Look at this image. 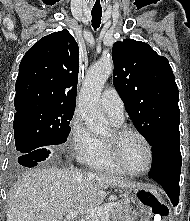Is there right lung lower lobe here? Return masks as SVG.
<instances>
[{"label":"right lung lower lobe","instance_id":"right-lung-lower-lobe-1","mask_svg":"<svg viewBox=\"0 0 190 221\" xmlns=\"http://www.w3.org/2000/svg\"><path fill=\"white\" fill-rule=\"evenodd\" d=\"M50 147H42L38 148L36 150H33L32 152H29L27 154H22L18 158V162L26 167H33L37 165V162L45 160L50 151Z\"/></svg>","mask_w":190,"mask_h":221}]
</instances>
